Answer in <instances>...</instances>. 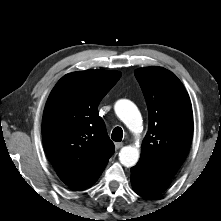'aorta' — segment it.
Listing matches in <instances>:
<instances>
[{
    "label": "aorta",
    "mask_w": 221,
    "mask_h": 221,
    "mask_svg": "<svg viewBox=\"0 0 221 221\" xmlns=\"http://www.w3.org/2000/svg\"><path fill=\"white\" fill-rule=\"evenodd\" d=\"M115 112L124 124L136 131L142 125L141 114L134 103L129 100H119L115 104ZM139 150L134 146H125L120 150L119 160L126 167L134 166L139 160Z\"/></svg>",
    "instance_id": "obj_1"
}]
</instances>
